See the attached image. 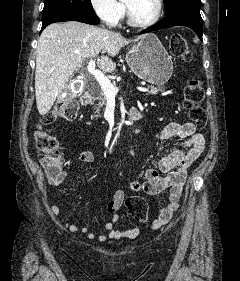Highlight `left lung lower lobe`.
Listing matches in <instances>:
<instances>
[{"mask_svg": "<svg viewBox=\"0 0 240 281\" xmlns=\"http://www.w3.org/2000/svg\"><path fill=\"white\" fill-rule=\"evenodd\" d=\"M200 8L201 6L194 4L181 5L169 12L167 16L157 24L141 31V34L182 25L191 28L202 40L203 21L200 15Z\"/></svg>", "mask_w": 240, "mask_h": 281, "instance_id": "0a47b994", "label": "left lung lower lobe"}]
</instances>
